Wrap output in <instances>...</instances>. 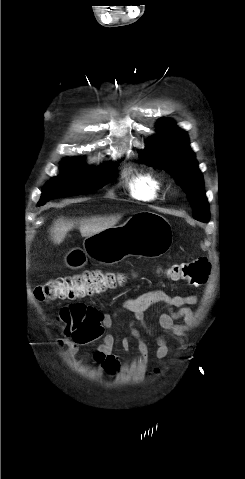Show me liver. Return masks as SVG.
Instances as JSON below:
<instances>
[{
  "mask_svg": "<svg viewBox=\"0 0 245 479\" xmlns=\"http://www.w3.org/2000/svg\"><path fill=\"white\" fill-rule=\"evenodd\" d=\"M121 219L120 215L93 216L79 220L59 218L50 228V236L55 244H60L67 233L78 227L82 237H89L101 231L114 227Z\"/></svg>",
  "mask_w": 245,
  "mask_h": 479,
  "instance_id": "obj_1",
  "label": "liver"
}]
</instances>
